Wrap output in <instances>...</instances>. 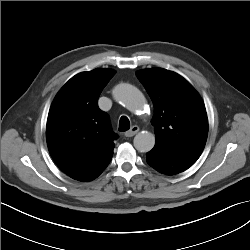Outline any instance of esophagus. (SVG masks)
<instances>
[{"label":"esophagus","mask_w":250,"mask_h":250,"mask_svg":"<svg viewBox=\"0 0 250 250\" xmlns=\"http://www.w3.org/2000/svg\"><path fill=\"white\" fill-rule=\"evenodd\" d=\"M139 131V127L137 125H134L131 127L130 130H128L127 132H125V136L126 137H132L134 136L137 132Z\"/></svg>","instance_id":"obj_1"}]
</instances>
